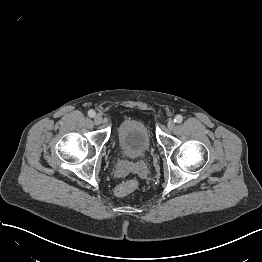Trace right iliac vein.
Listing matches in <instances>:
<instances>
[{"mask_svg": "<svg viewBox=\"0 0 262 262\" xmlns=\"http://www.w3.org/2000/svg\"><path fill=\"white\" fill-rule=\"evenodd\" d=\"M95 124L99 125L102 122V116L100 114L95 115L94 117Z\"/></svg>", "mask_w": 262, "mask_h": 262, "instance_id": "right-iliac-vein-1", "label": "right iliac vein"}]
</instances>
